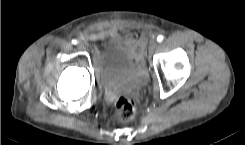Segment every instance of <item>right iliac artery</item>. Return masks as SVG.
Returning a JSON list of instances; mask_svg holds the SVG:
<instances>
[{"label":"right iliac artery","instance_id":"obj_1","mask_svg":"<svg viewBox=\"0 0 245 145\" xmlns=\"http://www.w3.org/2000/svg\"><path fill=\"white\" fill-rule=\"evenodd\" d=\"M72 44H77V41L75 39H73Z\"/></svg>","mask_w":245,"mask_h":145}]
</instances>
